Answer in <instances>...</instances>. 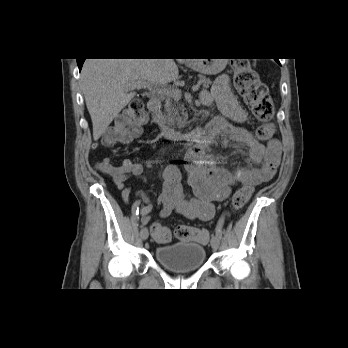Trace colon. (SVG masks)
Returning <instances> with one entry per match:
<instances>
[{
    "label": "colon",
    "mask_w": 348,
    "mask_h": 348,
    "mask_svg": "<svg viewBox=\"0 0 348 348\" xmlns=\"http://www.w3.org/2000/svg\"><path fill=\"white\" fill-rule=\"evenodd\" d=\"M234 85L250 107L254 117L260 122L256 130V137L261 141L270 140L275 132L272 123L274 104L267 86L262 83L250 64L249 60L238 58L232 62ZM147 120L144 106L140 102H133L122 114L117 116L113 123L105 130L102 136V144L105 147H113L120 143H127L137 137L141 126ZM252 194V187L244 185L238 188L232 197V209L237 212L244 207ZM152 236L159 243H166L171 239V231L168 227L153 223L151 225ZM175 236L181 241H195L207 243L209 233L206 230L188 225H179L175 229Z\"/></svg>",
    "instance_id": "1"
}]
</instances>
